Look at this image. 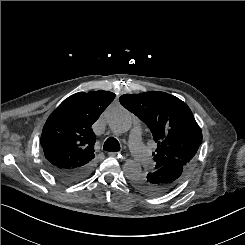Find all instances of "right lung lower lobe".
<instances>
[{"instance_id":"obj_1","label":"right lung lower lobe","mask_w":245,"mask_h":245,"mask_svg":"<svg viewBox=\"0 0 245 245\" xmlns=\"http://www.w3.org/2000/svg\"><path fill=\"white\" fill-rule=\"evenodd\" d=\"M48 170L57 178L67 182L74 183L88 177L93 171V163L78 169L57 168L46 164Z\"/></svg>"}]
</instances>
